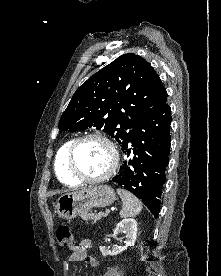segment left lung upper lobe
<instances>
[{
    "label": "left lung upper lobe",
    "instance_id": "5c2ea615",
    "mask_svg": "<svg viewBox=\"0 0 221 276\" xmlns=\"http://www.w3.org/2000/svg\"><path fill=\"white\" fill-rule=\"evenodd\" d=\"M166 101V89L151 65L139 55L124 54L76 90L59 130L103 128L123 148Z\"/></svg>",
    "mask_w": 221,
    "mask_h": 276
}]
</instances>
